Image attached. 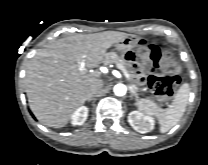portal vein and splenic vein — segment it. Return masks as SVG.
Wrapping results in <instances>:
<instances>
[{
  "label": "portal vein and splenic vein",
  "mask_w": 208,
  "mask_h": 165,
  "mask_svg": "<svg viewBox=\"0 0 208 165\" xmlns=\"http://www.w3.org/2000/svg\"><path fill=\"white\" fill-rule=\"evenodd\" d=\"M116 67L118 68V69H120L123 73H124V75L126 76V77H129V75H128V72H127V70L125 69V67L123 66V65H121V64H116ZM83 68V65L81 66V69Z\"/></svg>",
  "instance_id": "obj_1"
}]
</instances>
